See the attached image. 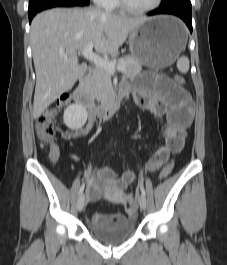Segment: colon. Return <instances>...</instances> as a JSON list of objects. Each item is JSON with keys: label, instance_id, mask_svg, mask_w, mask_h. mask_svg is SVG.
<instances>
[{"label": "colon", "instance_id": "1", "mask_svg": "<svg viewBox=\"0 0 227 265\" xmlns=\"http://www.w3.org/2000/svg\"><path fill=\"white\" fill-rule=\"evenodd\" d=\"M174 82L177 85H183L185 80L181 75L174 76ZM71 98L69 95L61 96L57 101L54 107H50L40 113L36 119V132L38 138L46 143L53 145V140L55 137V117L57 114V110L70 102ZM174 167V162L171 161L167 163L161 173L160 178L165 179L170 175ZM129 204L134 207L137 202V197L134 194H130L128 196Z\"/></svg>", "mask_w": 227, "mask_h": 265}]
</instances>
